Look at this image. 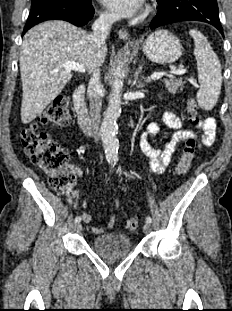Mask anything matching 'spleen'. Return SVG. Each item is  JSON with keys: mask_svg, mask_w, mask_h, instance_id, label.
I'll list each match as a JSON object with an SVG mask.
<instances>
[{"mask_svg": "<svg viewBox=\"0 0 232 311\" xmlns=\"http://www.w3.org/2000/svg\"><path fill=\"white\" fill-rule=\"evenodd\" d=\"M189 34L194 39V55L200 83L197 101L202 109L211 110L216 105L221 91V64L203 34L195 29H191Z\"/></svg>", "mask_w": 232, "mask_h": 311, "instance_id": "3e777b00", "label": "spleen"}]
</instances>
